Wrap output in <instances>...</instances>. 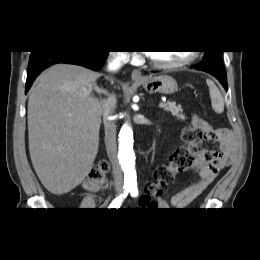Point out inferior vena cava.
Listing matches in <instances>:
<instances>
[{
	"instance_id": "obj_1",
	"label": "inferior vena cava",
	"mask_w": 260,
	"mask_h": 260,
	"mask_svg": "<svg viewBox=\"0 0 260 260\" xmlns=\"http://www.w3.org/2000/svg\"><path fill=\"white\" fill-rule=\"evenodd\" d=\"M128 61V55L123 51H111L107 58L106 69L109 73H117L121 67ZM102 110L107 114L114 113L116 108V96L109 94L108 98L101 103ZM105 141L107 153L112 165L114 184L116 188L123 185V176L116 155V124L113 121L105 123Z\"/></svg>"
}]
</instances>
